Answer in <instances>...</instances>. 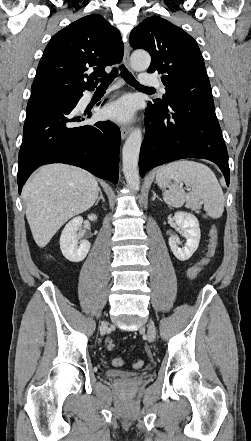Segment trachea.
<instances>
[{"label": "trachea", "instance_id": "trachea-1", "mask_svg": "<svg viewBox=\"0 0 251 441\" xmlns=\"http://www.w3.org/2000/svg\"><path fill=\"white\" fill-rule=\"evenodd\" d=\"M121 76L131 86L143 88V89H152L149 87H145L143 85H140L139 82L136 81V79L133 77V75L127 70V68L124 65L120 66ZM118 75V70L116 68H113L111 73L108 76H105L101 79V84L99 87H108L111 82L114 80V78Z\"/></svg>", "mask_w": 251, "mask_h": 441}]
</instances>
